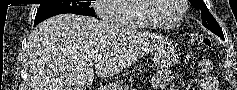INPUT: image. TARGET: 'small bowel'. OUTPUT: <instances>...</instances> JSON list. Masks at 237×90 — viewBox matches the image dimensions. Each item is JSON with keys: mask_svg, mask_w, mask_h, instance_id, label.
<instances>
[{"mask_svg": "<svg viewBox=\"0 0 237 90\" xmlns=\"http://www.w3.org/2000/svg\"><path fill=\"white\" fill-rule=\"evenodd\" d=\"M202 77L200 79V90H218V81L212 74V66L205 62L200 65ZM178 75L170 70H160L152 78V87L154 90H161L169 84L177 81Z\"/></svg>", "mask_w": 237, "mask_h": 90, "instance_id": "c3829d8e", "label": "small bowel"}]
</instances>
